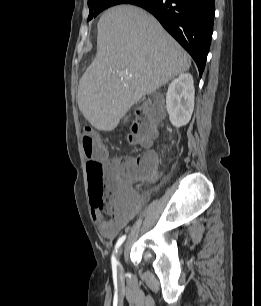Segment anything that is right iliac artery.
Here are the masks:
<instances>
[{
  "label": "right iliac artery",
  "instance_id": "82829eb1",
  "mask_svg": "<svg viewBox=\"0 0 261 306\" xmlns=\"http://www.w3.org/2000/svg\"><path fill=\"white\" fill-rule=\"evenodd\" d=\"M125 239H126V235L121 236V237L117 240V243H116V245H115V250L113 251L112 258H111L112 266H113L114 268H116V266H117V264H118V261H117V258H116L117 250H118V248L121 246V244L125 241Z\"/></svg>",
  "mask_w": 261,
  "mask_h": 306
}]
</instances>
